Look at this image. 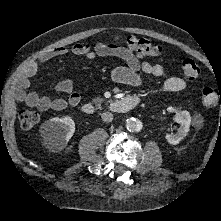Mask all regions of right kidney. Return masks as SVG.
Returning a JSON list of instances; mask_svg holds the SVG:
<instances>
[{
    "instance_id": "right-kidney-1",
    "label": "right kidney",
    "mask_w": 221,
    "mask_h": 221,
    "mask_svg": "<svg viewBox=\"0 0 221 221\" xmlns=\"http://www.w3.org/2000/svg\"><path fill=\"white\" fill-rule=\"evenodd\" d=\"M41 136L45 146L51 151L62 150L75 132V123L71 117L52 118L41 125Z\"/></svg>"
}]
</instances>
